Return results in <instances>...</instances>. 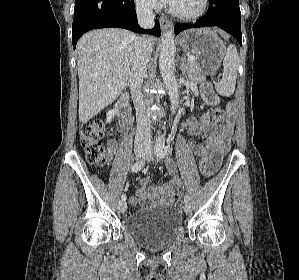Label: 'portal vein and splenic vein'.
I'll use <instances>...</instances> for the list:
<instances>
[{"label":"portal vein and splenic vein","mask_w":299,"mask_h":280,"mask_svg":"<svg viewBox=\"0 0 299 280\" xmlns=\"http://www.w3.org/2000/svg\"><path fill=\"white\" fill-rule=\"evenodd\" d=\"M195 58L193 57V56H189L188 58H187V61H193Z\"/></svg>","instance_id":"portal-vein-and-splenic-vein-1"}]
</instances>
